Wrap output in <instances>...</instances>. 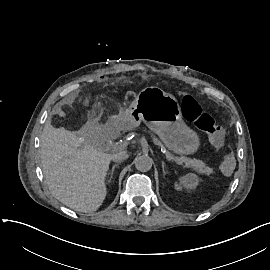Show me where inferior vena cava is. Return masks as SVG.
I'll use <instances>...</instances> for the list:
<instances>
[{"label": "inferior vena cava", "mask_w": 270, "mask_h": 270, "mask_svg": "<svg viewBox=\"0 0 270 270\" xmlns=\"http://www.w3.org/2000/svg\"><path fill=\"white\" fill-rule=\"evenodd\" d=\"M129 157L128 153L126 151H121L119 153L112 155V160L114 162H122L126 160Z\"/></svg>", "instance_id": "1"}]
</instances>
